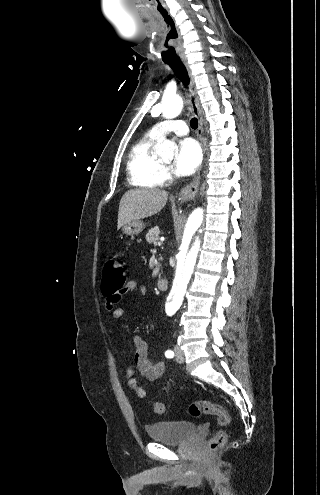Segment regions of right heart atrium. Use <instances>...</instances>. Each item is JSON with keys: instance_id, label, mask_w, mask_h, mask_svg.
I'll return each mask as SVG.
<instances>
[{"instance_id": "obj_1", "label": "right heart atrium", "mask_w": 320, "mask_h": 495, "mask_svg": "<svg viewBox=\"0 0 320 495\" xmlns=\"http://www.w3.org/2000/svg\"><path fill=\"white\" fill-rule=\"evenodd\" d=\"M161 181H167L170 179V173L167 168H162L161 174H160Z\"/></svg>"}]
</instances>
